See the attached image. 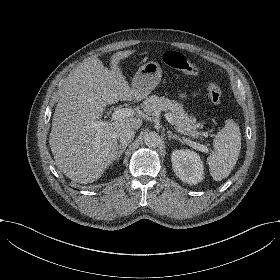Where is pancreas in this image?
<instances>
[{
  "label": "pancreas",
  "instance_id": "1",
  "mask_svg": "<svg viewBox=\"0 0 280 280\" xmlns=\"http://www.w3.org/2000/svg\"><path fill=\"white\" fill-rule=\"evenodd\" d=\"M140 108L143 110V114L148 116L157 111L168 109L174 117L173 123L178 131L188 133L192 138L201 140L206 136V134L201 131L205 121L202 120L197 123L195 119L190 120L183 109V105L179 102L171 101L164 97H157L152 94L145 99L140 105Z\"/></svg>",
  "mask_w": 280,
  "mask_h": 280
}]
</instances>
